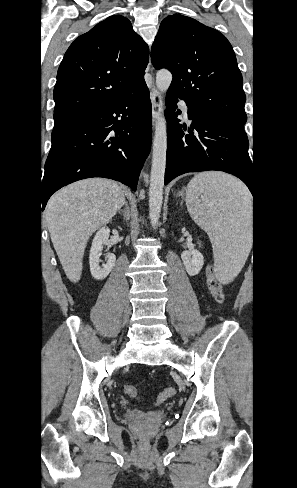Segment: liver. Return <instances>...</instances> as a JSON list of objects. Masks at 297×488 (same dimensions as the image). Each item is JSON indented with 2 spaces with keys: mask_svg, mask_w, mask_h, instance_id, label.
Masks as SVG:
<instances>
[{
  "mask_svg": "<svg viewBox=\"0 0 297 488\" xmlns=\"http://www.w3.org/2000/svg\"><path fill=\"white\" fill-rule=\"evenodd\" d=\"M124 201L121 186L102 178L75 182L49 199L45 216L50 237L71 282L81 277L90 236L113 218Z\"/></svg>",
  "mask_w": 297,
  "mask_h": 488,
  "instance_id": "liver-1",
  "label": "liver"
}]
</instances>
